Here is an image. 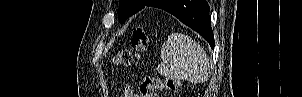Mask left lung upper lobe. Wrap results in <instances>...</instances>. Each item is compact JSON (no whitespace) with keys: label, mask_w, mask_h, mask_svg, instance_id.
Listing matches in <instances>:
<instances>
[{"label":"left lung upper lobe","mask_w":302,"mask_h":97,"mask_svg":"<svg viewBox=\"0 0 302 97\" xmlns=\"http://www.w3.org/2000/svg\"><path fill=\"white\" fill-rule=\"evenodd\" d=\"M154 0H120L119 21L124 23L130 16L148 7Z\"/></svg>","instance_id":"1"}]
</instances>
